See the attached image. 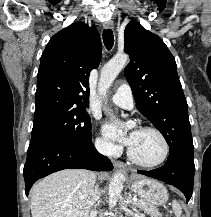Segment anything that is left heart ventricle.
Returning a JSON list of instances; mask_svg holds the SVG:
<instances>
[{"instance_id": "left-heart-ventricle-1", "label": "left heart ventricle", "mask_w": 211, "mask_h": 217, "mask_svg": "<svg viewBox=\"0 0 211 217\" xmlns=\"http://www.w3.org/2000/svg\"><path fill=\"white\" fill-rule=\"evenodd\" d=\"M135 132V138L130 146L134 156L146 163L159 160L164 151L160 137L152 131L135 130Z\"/></svg>"}]
</instances>
